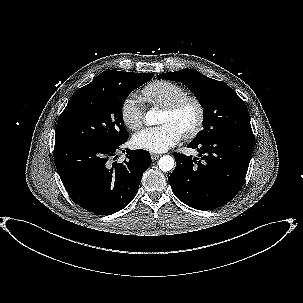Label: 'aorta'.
I'll return each mask as SVG.
<instances>
[{
  "label": "aorta",
  "instance_id": "aorta-1",
  "mask_svg": "<svg viewBox=\"0 0 303 303\" xmlns=\"http://www.w3.org/2000/svg\"><path fill=\"white\" fill-rule=\"evenodd\" d=\"M145 117L149 125H155L158 119V111L155 109L149 110ZM158 165L163 172L170 171L174 167V159L170 155H164L160 158Z\"/></svg>",
  "mask_w": 303,
  "mask_h": 303
}]
</instances>
